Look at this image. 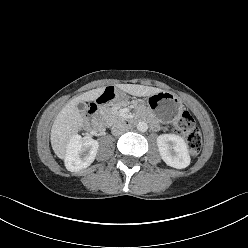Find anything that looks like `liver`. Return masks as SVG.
Wrapping results in <instances>:
<instances>
[{
	"label": "liver",
	"instance_id": "obj_1",
	"mask_svg": "<svg viewBox=\"0 0 248 248\" xmlns=\"http://www.w3.org/2000/svg\"><path fill=\"white\" fill-rule=\"evenodd\" d=\"M116 87L137 97H149L162 91L159 88L137 84H118ZM104 90L105 87L96 88L75 97L57 115L52 125L50 139L52 149L60 159H65L71 138L85 126V120L77 105L83 101L95 100Z\"/></svg>",
	"mask_w": 248,
	"mask_h": 248
}]
</instances>
